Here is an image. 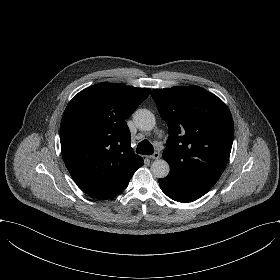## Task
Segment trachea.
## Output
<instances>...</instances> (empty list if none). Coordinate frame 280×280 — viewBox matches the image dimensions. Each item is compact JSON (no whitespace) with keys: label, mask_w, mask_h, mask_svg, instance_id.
I'll use <instances>...</instances> for the list:
<instances>
[{"label":"trachea","mask_w":280,"mask_h":280,"mask_svg":"<svg viewBox=\"0 0 280 280\" xmlns=\"http://www.w3.org/2000/svg\"><path fill=\"white\" fill-rule=\"evenodd\" d=\"M136 152L143 155H152L154 147L148 140L145 139L138 144Z\"/></svg>","instance_id":"trachea-1"}]
</instances>
